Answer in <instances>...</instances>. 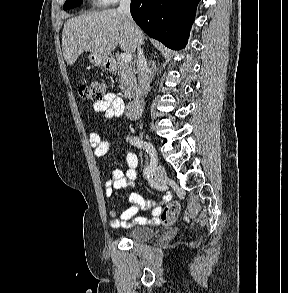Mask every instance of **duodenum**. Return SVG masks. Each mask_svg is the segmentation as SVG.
Wrapping results in <instances>:
<instances>
[{
	"label": "duodenum",
	"instance_id": "410a0bca",
	"mask_svg": "<svg viewBox=\"0 0 288 293\" xmlns=\"http://www.w3.org/2000/svg\"><path fill=\"white\" fill-rule=\"evenodd\" d=\"M115 66V62L113 59H110L108 60V67L110 69L114 68ZM142 97L141 95H136L133 100L130 102L129 104V109L130 111L133 113V114H138L140 109H141V106H142Z\"/></svg>",
	"mask_w": 288,
	"mask_h": 293
}]
</instances>
